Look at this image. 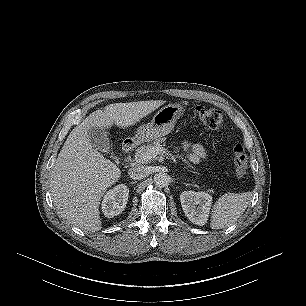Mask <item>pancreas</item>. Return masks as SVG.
I'll return each mask as SVG.
<instances>
[{
	"mask_svg": "<svg viewBox=\"0 0 306 306\" xmlns=\"http://www.w3.org/2000/svg\"><path fill=\"white\" fill-rule=\"evenodd\" d=\"M166 140L165 137L163 138H157L155 139L152 143H149L147 145H142L141 147H139L137 150H136V154H135V158L138 160L140 158V155L147 152L148 150L152 149V148H157V147H162V143H164ZM181 157V156H179ZM139 161V160H138ZM142 163H147L146 161H140ZM149 162V161H148ZM185 163H187L185 160H184ZM209 192L213 193L214 190L213 189H208Z\"/></svg>",
	"mask_w": 306,
	"mask_h": 306,
	"instance_id": "1",
	"label": "pancreas"
}]
</instances>
